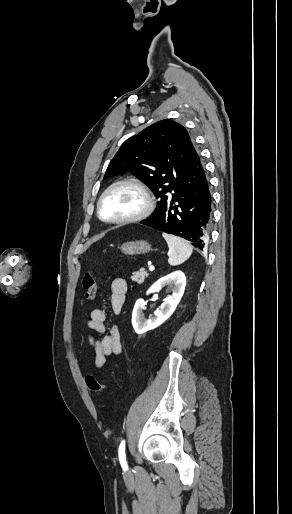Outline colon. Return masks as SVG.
Instances as JSON below:
<instances>
[{
  "label": "colon",
  "mask_w": 292,
  "mask_h": 514,
  "mask_svg": "<svg viewBox=\"0 0 292 514\" xmlns=\"http://www.w3.org/2000/svg\"><path fill=\"white\" fill-rule=\"evenodd\" d=\"M83 298L85 301H91L95 298L97 292L96 280L92 273L88 272L83 280ZM84 379L86 381L87 386L93 388L95 391H101L103 386L95 380V376L93 373L88 372L85 374ZM109 389L108 386H105Z\"/></svg>",
  "instance_id": "1"
}]
</instances>
